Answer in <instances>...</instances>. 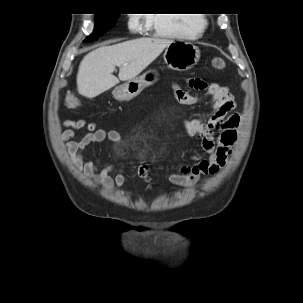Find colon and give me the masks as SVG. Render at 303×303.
<instances>
[{
    "instance_id": "colon-1",
    "label": "colon",
    "mask_w": 303,
    "mask_h": 303,
    "mask_svg": "<svg viewBox=\"0 0 303 303\" xmlns=\"http://www.w3.org/2000/svg\"><path fill=\"white\" fill-rule=\"evenodd\" d=\"M211 65L218 70L224 69L226 66L225 61L222 58H213ZM67 103L73 109H79L81 107L80 102L75 97H69Z\"/></svg>"
}]
</instances>
